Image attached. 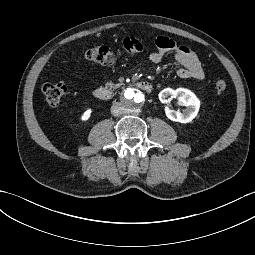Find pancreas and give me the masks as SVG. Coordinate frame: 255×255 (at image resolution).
I'll use <instances>...</instances> for the list:
<instances>
[{
	"mask_svg": "<svg viewBox=\"0 0 255 255\" xmlns=\"http://www.w3.org/2000/svg\"><path fill=\"white\" fill-rule=\"evenodd\" d=\"M107 85L110 87V88H113V89H116L118 87H120L122 85V83H118V84H114V83H107Z\"/></svg>",
	"mask_w": 255,
	"mask_h": 255,
	"instance_id": "cf45deb5",
	"label": "pancreas"
}]
</instances>
